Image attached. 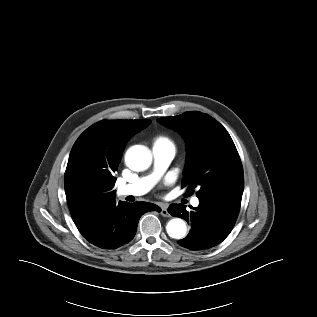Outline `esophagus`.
I'll return each mask as SVG.
<instances>
[{
	"label": "esophagus",
	"instance_id": "esophagus-1",
	"mask_svg": "<svg viewBox=\"0 0 317 317\" xmlns=\"http://www.w3.org/2000/svg\"><path fill=\"white\" fill-rule=\"evenodd\" d=\"M160 214L163 216V217H170V214L168 213V210H167V206L166 205H162L161 206V212Z\"/></svg>",
	"mask_w": 317,
	"mask_h": 317
}]
</instances>
